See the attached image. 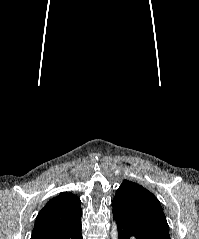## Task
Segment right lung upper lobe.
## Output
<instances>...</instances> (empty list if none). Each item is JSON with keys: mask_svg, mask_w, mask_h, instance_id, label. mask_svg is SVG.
Here are the masks:
<instances>
[{"mask_svg": "<svg viewBox=\"0 0 199 239\" xmlns=\"http://www.w3.org/2000/svg\"><path fill=\"white\" fill-rule=\"evenodd\" d=\"M81 215L80 199L72 193H61L39 212L33 232L63 227L79 220Z\"/></svg>", "mask_w": 199, "mask_h": 239, "instance_id": "1", "label": "right lung upper lobe"}]
</instances>
